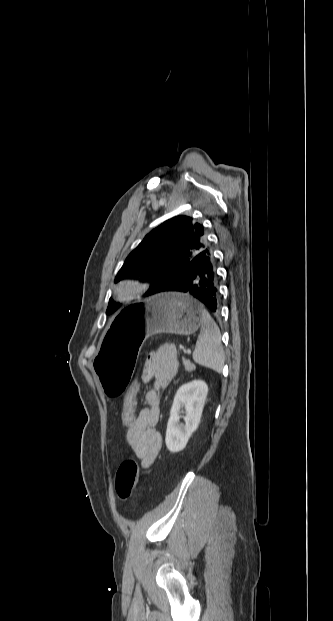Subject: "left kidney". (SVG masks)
<instances>
[{"label":"left kidney","instance_id":"left-kidney-1","mask_svg":"<svg viewBox=\"0 0 333 621\" xmlns=\"http://www.w3.org/2000/svg\"><path fill=\"white\" fill-rule=\"evenodd\" d=\"M208 394V386L202 380H194L182 385L173 401L166 430V446L172 453L183 450L192 433L198 428L203 407ZM183 413L185 424H180Z\"/></svg>","mask_w":333,"mask_h":621}]
</instances>
